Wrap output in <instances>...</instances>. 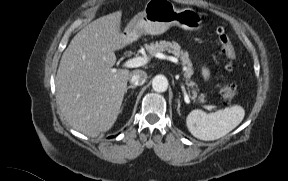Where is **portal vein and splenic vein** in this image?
<instances>
[{
  "label": "portal vein and splenic vein",
  "instance_id": "portal-vein-and-splenic-vein-1",
  "mask_svg": "<svg viewBox=\"0 0 288 181\" xmlns=\"http://www.w3.org/2000/svg\"><path fill=\"white\" fill-rule=\"evenodd\" d=\"M156 57H158L159 59L168 60V61H171V62H177V59L175 57L168 56V55H165L163 53H157ZM148 62H149V58L148 57L139 56V57H135V58L127 60L124 63L123 66L126 67V68H136V67H140V66L146 65ZM182 89H183V92H184V100H185V102L190 104L191 101H190L189 96L187 95V93L185 91V88L183 87ZM204 108L207 109V110H212V106H209V105H205Z\"/></svg>",
  "mask_w": 288,
  "mask_h": 181
}]
</instances>
